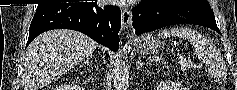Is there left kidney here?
Masks as SVG:
<instances>
[{
	"label": "left kidney",
	"instance_id": "left-kidney-1",
	"mask_svg": "<svg viewBox=\"0 0 237 90\" xmlns=\"http://www.w3.org/2000/svg\"><path fill=\"white\" fill-rule=\"evenodd\" d=\"M157 90H186V88H183V86L177 84V82L167 80V82H160L157 86Z\"/></svg>",
	"mask_w": 237,
	"mask_h": 90
}]
</instances>
